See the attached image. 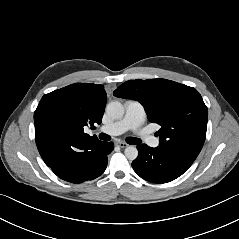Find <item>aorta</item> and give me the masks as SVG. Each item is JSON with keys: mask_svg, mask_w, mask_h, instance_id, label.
Wrapping results in <instances>:
<instances>
[{"mask_svg": "<svg viewBox=\"0 0 239 239\" xmlns=\"http://www.w3.org/2000/svg\"><path fill=\"white\" fill-rule=\"evenodd\" d=\"M106 113L112 119H120L124 115V107L118 101H112L106 106ZM125 156L129 160H135L138 156V150L135 146H128L125 151Z\"/></svg>", "mask_w": 239, "mask_h": 239, "instance_id": "aorta-1", "label": "aorta"}]
</instances>
